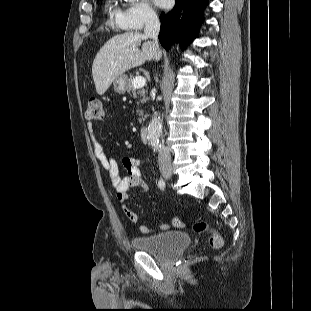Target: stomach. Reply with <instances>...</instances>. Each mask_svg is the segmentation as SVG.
Here are the masks:
<instances>
[{"label": "stomach", "instance_id": "obj_1", "mask_svg": "<svg viewBox=\"0 0 311 311\" xmlns=\"http://www.w3.org/2000/svg\"><path fill=\"white\" fill-rule=\"evenodd\" d=\"M127 76L126 75H121L119 77H117L114 81H113V87L114 90L119 93V94H123L125 93V91L127 90L126 86H127Z\"/></svg>", "mask_w": 311, "mask_h": 311}]
</instances>
